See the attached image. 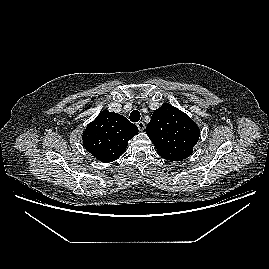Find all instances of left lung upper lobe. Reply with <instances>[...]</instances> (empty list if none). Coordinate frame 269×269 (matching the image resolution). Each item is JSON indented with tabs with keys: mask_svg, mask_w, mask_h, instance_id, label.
Here are the masks:
<instances>
[{
	"mask_svg": "<svg viewBox=\"0 0 269 269\" xmlns=\"http://www.w3.org/2000/svg\"><path fill=\"white\" fill-rule=\"evenodd\" d=\"M146 133L161 157L178 161L192 154L200 129L188 115L165 103L153 112Z\"/></svg>",
	"mask_w": 269,
	"mask_h": 269,
	"instance_id": "obj_1",
	"label": "left lung upper lobe"
}]
</instances>
